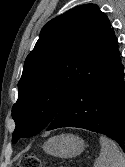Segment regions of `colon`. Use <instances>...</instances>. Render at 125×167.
I'll list each match as a JSON object with an SVG mask.
<instances>
[{
  "instance_id": "obj_1",
  "label": "colon",
  "mask_w": 125,
  "mask_h": 167,
  "mask_svg": "<svg viewBox=\"0 0 125 167\" xmlns=\"http://www.w3.org/2000/svg\"><path fill=\"white\" fill-rule=\"evenodd\" d=\"M18 167H41V161L36 155L28 153L20 157Z\"/></svg>"
}]
</instances>
